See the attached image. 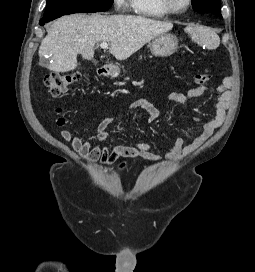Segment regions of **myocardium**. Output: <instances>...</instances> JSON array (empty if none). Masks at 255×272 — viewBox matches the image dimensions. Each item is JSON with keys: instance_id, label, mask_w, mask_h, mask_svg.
Returning a JSON list of instances; mask_svg holds the SVG:
<instances>
[{"instance_id": "myocardium-1", "label": "myocardium", "mask_w": 255, "mask_h": 272, "mask_svg": "<svg viewBox=\"0 0 255 272\" xmlns=\"http://www.w3.org/2000/svg\"><path fill=\"white\" fill-rule=\"evenodd\" d=\"M162 7L169 13V14H174V15H178V14H182L184 12H186L191 4H192V0H186V4L181 7V8H177L172 4L171 0H160Z\"/></svg>"}]
</instances>
